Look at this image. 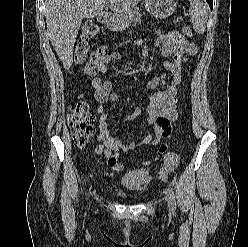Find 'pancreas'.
I'll return each mask as SVG.
<instances>
[{
  "label": "pancreas",
  "mask_w": 248,
  "mask_h": 247,
  "mask_svg": "<svg viewBox=\"0 0 248 247\" xmlns=\"http://www.w3.org/2000/svg\"><path fill=\"white\" fill-rule=\"evenodd\" d=\"M128 17L130 19V23L131 22H134L135 23L134 25H136L137 22H140L141 21V15H139V14L130 13L128 15Z\"/></svg>",
  "instance_id": "1"
}]
</instances>
